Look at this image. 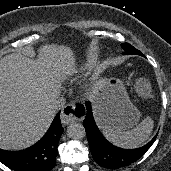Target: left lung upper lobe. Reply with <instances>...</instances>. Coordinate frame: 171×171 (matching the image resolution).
<instances>
[{
	"mask_svg": "<svg viewBox=\"0 0 171 171\" xmlns=\"http://www.w3.org/2000/svg\"><path fill=\"white\" fill-rule=\"evenodd\" d=\"M121 47L124 49V53L123 54H136V55L143 56V54L139 50H137L136 48H134L129 43H123L121 45Z\"/></svg>",
	"mask_w": 171,
	"mask_h": 171,
	"instance_id": "obj_1",
	"label": "left lung upper lobe"
}]
</instances>
